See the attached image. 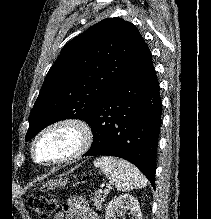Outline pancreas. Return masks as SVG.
Returning <instances> with one entry per match:
<instances>
[{"instance_id": "1", "label": "pancreas", "mask_w": 211, "mask_h": 219, "mask_svg": "<svg viewBox=\"0 0 211 219\" xmlns=\"http://www.w3.org/2000/svg\"><path fill=\"white\" fill-rule=\"evenodd\" d=\"M104 195H101L100 193L95 192L91 199L94 201V205L96 206L97 210H102V204L105 201Z\"/></svg>"}]
</instances>
